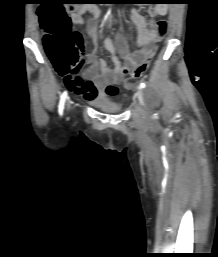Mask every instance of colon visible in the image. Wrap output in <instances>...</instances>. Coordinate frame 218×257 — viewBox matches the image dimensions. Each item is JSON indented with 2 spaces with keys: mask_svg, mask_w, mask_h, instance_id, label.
I'll return each instance as SVG.
<instances>
[{
  "mask_svg": "<svg viewBox=\"0 0 218 257\" xmlns=\"http://www.w3.org/2000/svg\"><path fill=\"white\" fill-rule=\"evenodd\" d=\"M76 9V5H43L38 11L46 53L56 71L67 80L79 75L83 65L82 35L71 29L70 18L65 12ZM148 64L149 59L132 70L128 87H132L133 81L143 76ZM104 87L106 98H119L124 93L116 83H105Z\"/></svg>",
  "mask_w": 218,
  "mask_h": 257,
  "instance_id": "obj_1",
  "label": "colon"
}]
</instances>
